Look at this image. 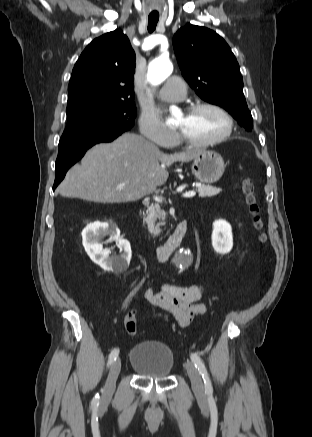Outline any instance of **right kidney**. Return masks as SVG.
<instances>
[{
  "label": "right kidney",
  "instance_id": "right-kidney-1",
  "mask_svg": "<svg viewBox=\"0 0 312 437\" xmlns=\"http://www.w3.org/2000/svg\"><path fill=\"white\" fill-rule=\"evenodd\" d=\"M109 235L110 241H116L122 252L119 256L110 257V252L103 249L100 238ZM83 246L90 259L105 271L122 272L127 269L131 260V246L128 240L120 238L119 229L108 223L94 222L82 231Z\"/></svg>",
  "mask_w": 312,
  "mask_h": 437
}]
</instances>
